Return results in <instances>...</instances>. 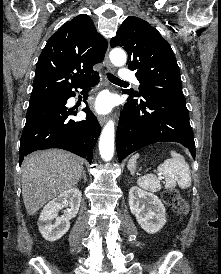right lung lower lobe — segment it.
<instances>
[{
    "label": "right lung lower lobe",
    "instance_id": "right-lung-lower-lobe-1",
    "mask_svg": "<svg viewBox=\"0 0 221 274\" xmlns=\"http://www.w3.org/2000/svg\"><path fill=\"white\" fill-rule=\"evenodd\" d=\"M98 78L74 88H87L98 83ZM75 96L72 90L65 94L39 102H30L26 115V124L20 142L21 164L24 156L33 151L60 148L68 150L92 161V148L101 132L96 116L90 111L87 103L83 109L87 117L82 121H75L71 116L77 112L75 108L66 107L68 98ZM87 95L85 96V100Z\"/></svg>",
    "mask_w": 221,
    "mask_h": 274
}]
</instances>
